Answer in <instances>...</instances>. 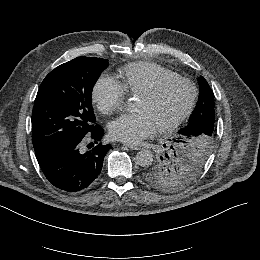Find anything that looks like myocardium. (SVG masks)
Wrapping results in <instances>:
<instances>
[{"label": "myocardium", "instance_id": "myocardium-1", "mask_svg": "<svg viewBox=\"0 0 260 260\" xmlns=\"http://www.w3.org/2000/svg\"><path fill=\"white\" fill-rule=\"evenodd\" d=\"M175 81L182 82L191 88V91H192L191 100H190L188 106L186 107V109L180 115H178L176 118H174L173 120H171L169 122H166L164 124L157 126L156 128L159 132H165V131L178 127L191 115V113L193 112V110L197 104V101H198L199 90H198L197 86L191 80H189L188 78H186L184 76L174 75V76L164 77V78L160 79L155 86L142 90L141 92H139L137 94V95H146V96H151V97L157 96L164 90V88L168 84L175 82Z\"/></svg>", "mask_w": 260, "mask_h": 260}]
</instances>
